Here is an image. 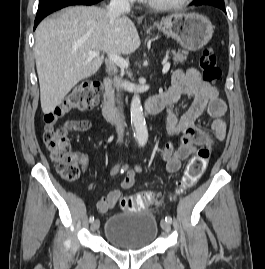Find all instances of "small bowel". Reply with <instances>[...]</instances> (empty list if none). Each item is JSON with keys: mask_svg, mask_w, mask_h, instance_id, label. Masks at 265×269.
<instances>
[{"mask_svg": "<svg viewBox=\"0 0 265 269\" xmlns=\"http://www.w3.org/2000/svg\"><path fill=\"white\" fill-rule=\"evenodd\" d=\"M165 106L168 108L167 130L173 137L161 152V158L166 164L169 173H175L181 168L182 161L190 157L197 146L211 142L210 136L197 127L196 121L204 111L214 117L212 125L213 135L217 141H223L226 135V105L219 97V90L202 79L195 68L179 69L172 77L171 86L162 94ZM182 96H187L191 103L187 111L179 116L177 104ZM68 127L73 131H86L90 128L88 122L70 121ZM84 165L87 161L84 160ZM121 164L115 165L111 174L119 172ZM141 168L136 165L134 170L126 172L120 187L111 189L97 202V209L105 214L112 210L121 197V190L133 187L136 173Z\"/></svg>", "mask_w": 265, "mask_h": 269, "instance_id": "c3829d8e", "label": "small bowel"}]
</instances>
